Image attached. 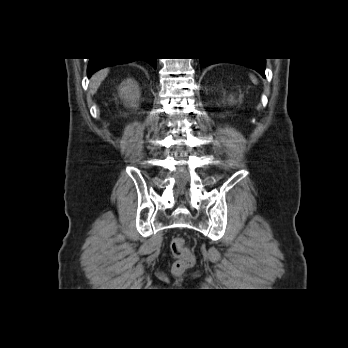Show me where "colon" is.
Listing matches in <instances>:
<instances>
[{"instance_id": "5ec220e1", "label": "colon", "mask_w": 348, "mask_h": 348, "mask_svg": "<svg viewBox=\"0 0 348 348\" xmlns=\"http://www.w3.org/2000/svg\"><path fill=\"white\" fill-rule=\"evenodd\" d=\"M170 250L176 258L173 264V272L180 274L194 263V257L183 238H173L170 242Z\"/></svg>"}]
</instances>
